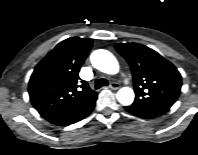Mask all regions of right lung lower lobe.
<instances>
[{"label":"right lung lower lobe","instance_id":"obj_1","mask_svg":"<svg viewBox=\"0 0 198 155\" xmlns=\"http://www.w3.org/2000/svg\"><path fill=\"white\" fill-rule=\"evenodd\" d=\"M96 99L97 93L87 97L72 109L45 119L60 126L73 124L84 119L92 112Z\"/></svg>","mask_w":198,"mask_h":155}]
</instances>
